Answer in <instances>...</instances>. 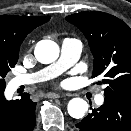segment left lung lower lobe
<instances>
[{
    "label": "left lung lower lobe",
    "mask_w": 131,
    "mask_h": 131,
    "mask_svg": "<svg viewBox=\"0 0 131 131\" xmlns=\"http://www.w3.org/2000/svg\"><path fill=\"white\" fill-rule=\"evenodd\" d=\"M77 131H131V104L105 97L104 104L76 124Z\"/></svg>",
    "instance_id": "left-lung-lower-lobe-1"
}]
</instances>
